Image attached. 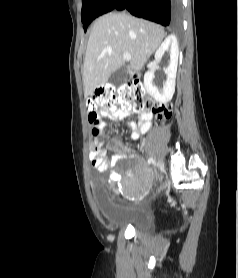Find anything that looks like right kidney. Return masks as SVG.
Masks as SVG:
<instances>
[{"mask_svg": "<svg viewBox=\"0 0 238 278\" xmlns=\"http://www.w3.org/2000/svg\"><path fill=\"white\" fill-rule=\"evenodd\" d=\"M168 50L170 51V64L165 69L167 80L163 84L162 90H159L158 87L153 84L155 68H152L144 75V86L147 92L159 103L169 102L175 92V79L179 56L178 43L175 36H168L164 40L155 53V59H161L165 51Z\"/></svg>", "mask_w": 238, "mask_h": 278, "instance_id": "obj_1", "label": "right kidney"}]
</instances>
